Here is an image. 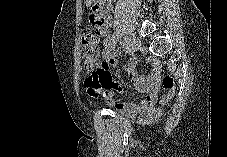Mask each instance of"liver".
Segmentation results:
<instances>
[{"mask_svg":"<svg viewBox=\"0 0 227 157\" xmlns=\"http://www.w3.org/2000/svg\"><path fill=\"white\" fill-rule=\"evenodd\" d=\"M91 2H92L91 0H88V1H87V4L89 5Z\"/></svg>","mask_w":227,"mask_h":157,"instance_id":"obj_1","label":"liver"}]
</instances>
